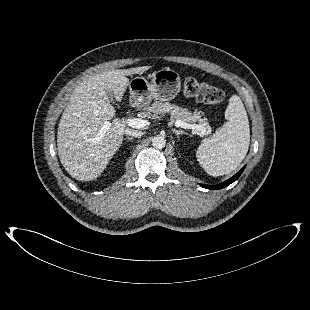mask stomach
<instances>
[{
    "mask_svg": "<svg viewBox=\"0 0 310 310\" xmlns=\"http://www.w3.org/2000/svg\"><path fill=\"white\" fill-rule=\"evenodd\" d=\"M180 88L179 74L169 68L155 71L150 82L142 76L129 82L131 98L138 108H145L152 99L170 101L177 96Z\"/></svg>",
    "mask_w": 310,
    "mask_h": 310,
    "instance_id": "1",
    "label": "stomach"
}]
</instances>
